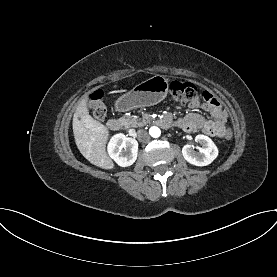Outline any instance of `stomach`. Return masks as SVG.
<instances>
[{
	"label": "stomach",
	"mask_w": 277,
	"mask_h": 277,
	"mask_svg": "<svg viewBox=\"0 0 277 277\" xmlns=\"http://www.w3.org/2000/svg\"><path fill=\"white\" fill-rule=\"evenodd\" d=\"M168 90V79L163 75H155L122 95L116 102V108L119 111H128L155 105L167 96Z\"/></svg>",
	"instance_id": "0dacf381"
}]
</instances>
